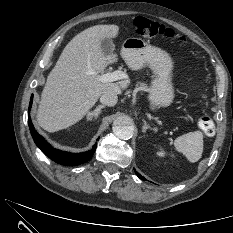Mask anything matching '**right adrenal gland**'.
Returning <instances> with one entry per match:
<instances>
[{
    "instance_id": "1",
    "label": "right adrenal gland",
    "mask_w": 233,
    "mask_h": 233,
    "mask_svg": "<svg viewBox=\"0 0 233 233\" xmlns=\"http://www.w3.org/2000/svg\"><path fill=\"white\" fill-rule=\"evenodd\" d=\"M105 108L104 105H99L96 107V109L92 112H88L87 113V121H92L93 118L97 119L98 118V115L101 113V110Z\"/></svg>"
}]
</instances>
